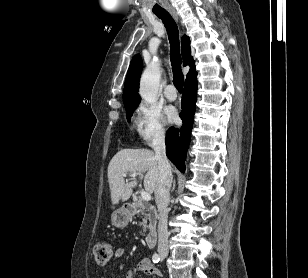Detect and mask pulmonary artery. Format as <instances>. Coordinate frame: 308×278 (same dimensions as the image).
<instances>
[{"label": "pulmonary artery", "instance_id": "1", "mask_svg": "<svg viewBox=\"0 0 308 278\" xmlns=\"http://www.w3.org/2000/svg\"><path fill=\"white\" fill-rule=\"evenodd\" d=\"M164 95L168 100L174 101L177 98L175 87L172 84L167 85L164 90Z\"/></svg>", "mask_w": 308, "mask_h": 278}]
</instances>
